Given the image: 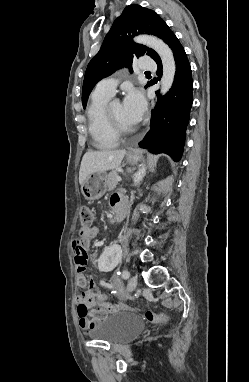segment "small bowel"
I'll return each instance as SVG.
<instances>
[{
	"label": "small bowel",
	"mask_w": 249,
	"mask_h": 382,
	"mask_svg": "<svg viewBox=\"0 0 249 382\" xmlns=\"http://www.w3.org/2000/svg\"><path fill=\"white\" fill-rule=\"evenodd\" d=\"M121 199V195L114 194L110 199V203L114 206ZM95 234L96 230L93 228H81L77 239L73 242L74 248H86L89 241L95 236ZM89 257L93 258V260H97L100 256H96L95 253H90ZM102 284L110 287V284L107 282L103 281ZM77 285L82 289H88V291L83 292L76 298L78 304L77 313L79 316V325L83 330H91L95 328L110 311L96 300L95 296L90 291V282H88L87 279L85 282H77Z\"/></svg>",
	"instance_id": "c3829d8e"
}]
</instances>
